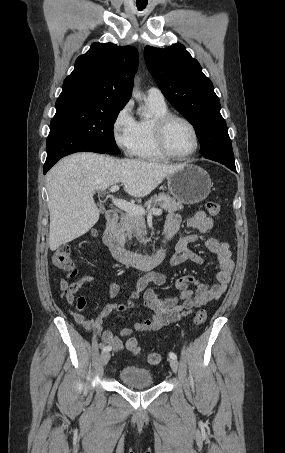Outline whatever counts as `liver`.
Wrapping results in <instances>:
<instances>
[{"mask_svg":"<svg viewBox=\"0 0 285 453\" xmlns=\"http://www.w3.org/2000/svg\"><path fill=\"white\" fill-rule=\"evenodd\" d=\"M180 166L91 152L63 158L46 177L50 250L84 235L97 223L100 210L93 199L95 191L122 182L130 196L144 197Z\"/></svg>","mask_w":285,"mask_h":453,"instance_id":"1","label":"liver"}]
</instances>
